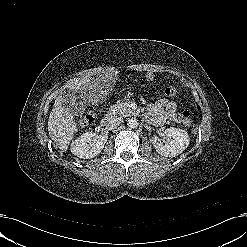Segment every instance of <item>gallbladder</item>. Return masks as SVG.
Wrapping results in <instances>:
<instances>
[{"label": "gallbladder", "mask_w": 247, "mask_h": 247, "mask_svg": "<svg viewBox=\"0 0 247 247\" xmlns=\"http://www.w3.org/2000/svg\"><path fill=\"white\" fill-rule=\"evenodd\" d=\"M62 99L64 107L68 109L72 114H77L79 108L75 106V97L71 89H66L62 93Z\"/></svg>", "instance_id": "bac80fb5"}]
</instances>
